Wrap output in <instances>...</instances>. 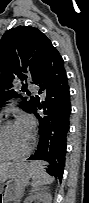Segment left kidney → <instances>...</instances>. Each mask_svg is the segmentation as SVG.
<instances>
[{"instance_id":"left-kidney-1","label":"left kidney","mask_w":89,"mask_h":203,"mask_svg":"<svg viewBox=\"0 0 89 203\" xmlns=\"http://www.w3.org/2000/svg\"><path fill=\"white\" fill-rule=\"evenodd\" d=\"M51 203V195L48 187H35L31 190L30 196L24 203Z\"/></svg>"}]
</instances>
